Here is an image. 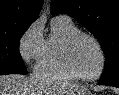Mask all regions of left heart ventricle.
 <instances>
[{"label": "left heart ventricle", "instance_id": "b2bd125f", "mask_svg": "<svg viewBox=\"0 0 119 95\" xmlns=\"http://www.w3.org/2000/svg\"><path fill=\"white\" fill-rule=\"evenodd\" d=\"M72 63L80 75L93 76L97 74L100 67L98 48L90 39L79 38L72 50Z\"/></svg>", "mask_w": 119, "mask_h": 95}]
</instances>
